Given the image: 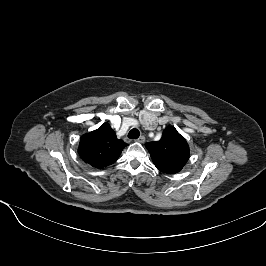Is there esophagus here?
<instances>
[{"label": "esophagus", "mask_w": 266, "mask_h": 266, "mask_svg": "<svg viewBox=\"0 0 266 266\" xmlns=\"http://www.w3.org/2000/svg\"><path fill=\"white\" fill-rule=\"evenodd\" d=\"M137 142L139 143H144L145 142V137L144 136H140L138 139H136Z\"/></svg>", "instance_id": "34e87169"}]
</instances>
